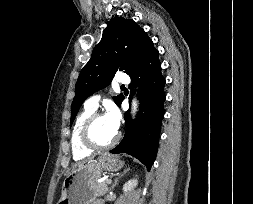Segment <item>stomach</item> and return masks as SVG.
Listing matches in <instances>:
<instances>
[{
    "instance_id": "stomach-1",
    "label": "stomach",
    "mask_w": 253,
    "mask_h": 204,
    "mask_svg": "<svg viewBox=\"0 0 253 204\" xmlns=\"http://www.w3.org/2000/svg\"><path fill=\"white\" fill-rule=\"evenodd\" d=\"M123 166L124 162L118 156L102 154L97 160L72 169L63 181L57 204H94L98 196L93 189L95 181L103 172H116Z\"/></svg>"
}]
</instances>
